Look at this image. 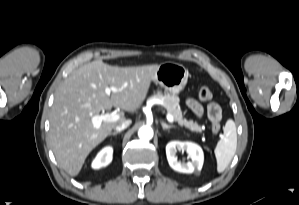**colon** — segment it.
I'll list each match as a JSON object with an SVG mask.
<instances>
[{"instance_id": "1", "label": "colon", "mask_w": 299, "mask_h": 205, "mask_svg": "<svg viewBox=\"0 0 299 205\" xmlns=\"http://www.w3.org/2000/svg\"><path fill=\"white\" fill-rule=\"evenodd\" d=\"M199 98L203 101H209L212 98V92L207 86H203L199 90ZM211 120L212 132L217 134L220 131L221 111L217 108H211L208 111Z\"/></svg>"}]
</instances>
